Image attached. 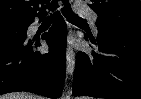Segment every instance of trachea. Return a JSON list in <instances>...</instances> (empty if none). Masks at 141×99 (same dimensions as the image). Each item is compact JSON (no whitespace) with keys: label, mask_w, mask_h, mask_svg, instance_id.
Instances as JSON below:
<instances>
[{"label":"trachea","mask_w":141,"mask_h":99,"mask_svg":"<svg viewBox=\"0 0 141 99\" xmlns=\"http://www.w3.org/2000/svg\"><path fill=\"white\" fill-rule=\"evenodd\" d=\"M63 7H62V13L65 16V18L72 23L78 22V23H85L86 20L80 18L77 14H75L70 6V3L68 0H62ZM58 7V1L53 0L49 5H47L48 9H53ZM46 20H51V16H48Z\"/></svg>","instance_id":"3493384b"}]
</instances>
